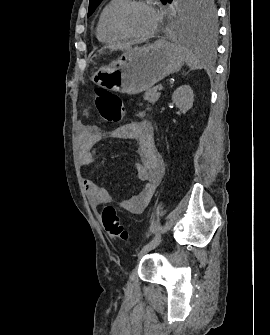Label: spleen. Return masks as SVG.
Segmentation results:
<instances>
[{
	"mask_svg": "<svg viewBox=\"0 0 270 335\" xmlns=\"http://www.w3.org/2000/svg\"><path fill=\"white\" fill-rule=\"evenodd\" d=\"M184 54L186 56V60H188L189 62L191 70H195V68H197L199 64L197 46H191V48H185Z\"/></svg>",
	"mask_w": 270,
	"mask_h": 335,
	"instance_id": "obj_1",
	"label": "spleen"
}]
</instances>
